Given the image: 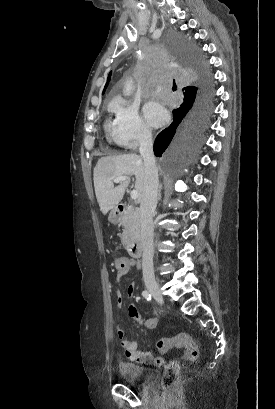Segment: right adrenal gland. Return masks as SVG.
<instances>
[{
	"mask_svg": "<svg viewBox=\"0 0 275 409\" xmlns=\"http://www.w3.org/2000/svg\"><path fill=\"white\" fill-rule=\"evenodd\" d=\"M163 184H159V190H158V200L161 198V190H162Z\"/></svg>",
	"mask_w": 275,
	"mask_h": 409,
	"instance_id": "right-adrenal-gland-1",
	"label": "right adrenal gland"
}]
</instances>
